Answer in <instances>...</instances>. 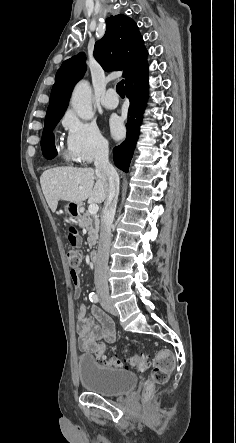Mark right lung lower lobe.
I'll return each mask as SVG.
<instances>
[{"mask_svg":"<svg viewBox=\"0 0 236 443\" xmlns=\"http://www.w3.org/2000/svg\"><path fill=\"white\" fill-rule=\"evenodd\" d=\"M148 92V67H144L125 81V94L129 98L130 106L128 111V121L126 124L127 137L119 146L114 147L115 165L127 172L134 148L139 136V127L142 121V112L145 107ZM47 159H52L57 155L55 147L43 151Z\"/></svg>","mask_w":236,"mask_h":443,"instance_id":"obj_1","label":"right lung lower lobe"}]
</instances>
